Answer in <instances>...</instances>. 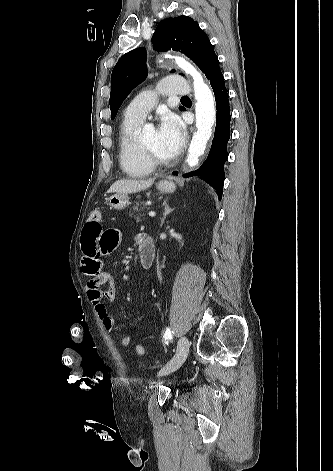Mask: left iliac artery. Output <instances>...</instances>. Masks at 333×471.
Returning <instances> with one entry per match:
<instances>
[{
	"label": "left iliac artery",
	"instance_id": "44dca946",
	"mask_svg": "<svg viewBox=\"0 0 333 471\" xmlns=\"http://www.w3.org/2000/svg\"><path fill=\"white\" fill-rule=\"evenodd\" d=\"M163 337H164L165 343L168 344V340L172 337V331L169 328H167Z\"/></svg>",
	"mask_w": 333,
	"mask_h": 471
}]
</instances>
